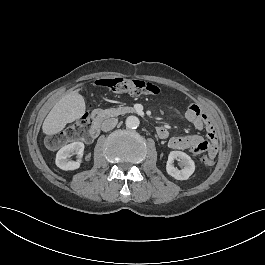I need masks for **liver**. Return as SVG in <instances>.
Listing matches in <instances>:
<instances>
[{
	"instance_id": "obj_1",
	"label": "liver",
	"mask_w": 265,
	"mask_h": 265,
	"mask_svg": "<svg viewBox=\"0 0 265 265\" xmlns=\"http://www.w3.org/2000/svg\"><path fill=\"white\" fill-rule=\"evenodd\" d=\"M86 110L84 97L78 90L64 95L52 107L42 124V133L55 135L62 131L68 123L81 118Z\"/></svg>"
}]
</instances>
